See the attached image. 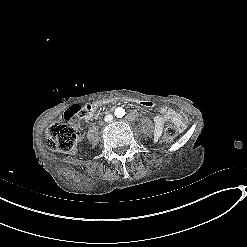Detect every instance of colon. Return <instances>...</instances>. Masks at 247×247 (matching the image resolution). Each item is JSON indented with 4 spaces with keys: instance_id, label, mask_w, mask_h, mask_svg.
<instances>
[{
    "instance_id": "colon-1",
    "label": "colon",
    "mask_w": 247,
    "mask_h": 247,
    "mask_svg": "<svg viewBox=\"0 0 247 247\" xmlns=\"http://www.w3.org/2000/svg\"><path fill=\"white\" fill-rule=\"evenodd\" d=\"M140 104L143 107L154 108V101L142 99ZM90 112V106L74 105L64 112L63 118L52 124L46 132L45 144L51 151L65 154H73L76 151V143L79 138L78 128L86 122ZM177 128L174 124L169 123L164 132V139L171 141L177 136Z\"/></svg>"
}]
</instances>
